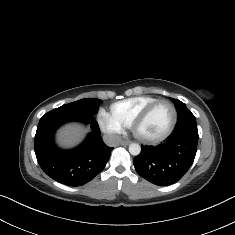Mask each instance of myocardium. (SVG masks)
Wrapping results in <instances>:
<instances>
[{
    "instance_id": "1",
    "label": "myocardium",
    "mask_w": 235,
    "mask_h": 235,
    "mask_svg": "<svg viewBox=\"0 0 235 235\" xmlns=\"http://www.w3.org/2000/svg\"><path fill=\"white\" fill-rule=\"evenodd\" d=\"M161 103H168L173 109V118H172V121H171V124H170L168 130L161 136H157V137H153V138L141 137L138 134V128L148 120V118L150 117L152 112L155 110V108L158 105H160ZM177 120H178V111H177L175 104L168 99H158V100L154 101L152 104H150L139 116H137L135 118V120L133 121L130 128H131V132H132L134 138L138 142L143 143V144L152 145V144H157V143H160V142L168 139L173 134V132L175 130Z\"/></svg>"
}]
</instances>
